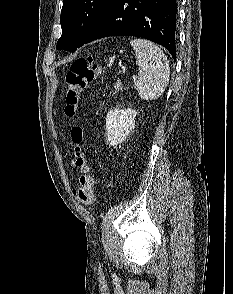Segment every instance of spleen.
<instances>
[{
  "instance_id": "3e777b00",
  "label": "spleen",
  "mask_w": 233,
  "mask_h": 294,
  "mask_svg": "<svg viewBox=\"0 0 233 294\" xmlns=\"http://www.w3.org/2000/svg\"><path fill=\"white\" fill-rule=\"evenodd\" d=\"M139 66L136 87L143 100L158 99L164 92L170 77L169 61L163 51L151 41H130Z\"/></svg>"
}]
</instances>
